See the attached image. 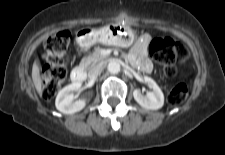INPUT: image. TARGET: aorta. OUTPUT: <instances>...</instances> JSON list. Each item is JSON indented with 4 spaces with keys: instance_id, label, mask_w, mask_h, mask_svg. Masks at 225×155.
Masks as SVG:
<instances>
[{
    "instance_id": "aorta-1",
    "label": "aorta",
    "mask_w": 225,
    "mask_h": 155,
    "mask_svg": "<svg viewBox=\"0 0 225 155\" xmlns=\"http://www.w3.org/2000/svg\"><path fill=\"white\" fill-rule=\"evenodd\" d=\"M120 69H121V66L119 62L116 60H111L107 65V70L112 74L119 73Z\"/></svg>"
}]
</instances>
